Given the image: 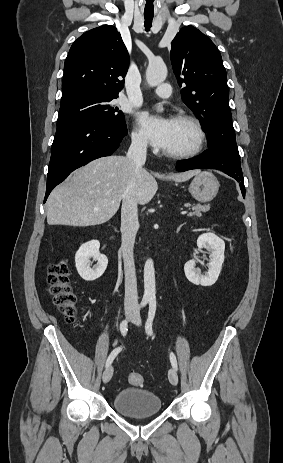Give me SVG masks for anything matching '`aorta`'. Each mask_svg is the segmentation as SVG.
<instances>
[{
	"mask_svg": "<svg viewBox=\"0 0 283 463\" xmlns=\"http://www.w3.org/2000/svg\"><path fill=\"white\" fill-rule=\"evenodd\" d=\"M167 77V67L162 61L150 62L146 70V80L149 86L155 87L165 81ZM163 108L159 107V111ZM155 269L152 259H148L144 265V296L143 299H155Z\"/></svg>",
	"mask_w": 283,
	"mask_h": 463,
	"instance_id": "1",
	"label": "aorta"
}]
</instances>
